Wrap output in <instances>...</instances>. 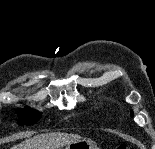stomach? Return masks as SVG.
Listing matches in <instances>:
<instances>
[{
  "mask_svg": "<svg viewBox=\"0 0 155 149\" xmlns=\"http://www.w3.org/2000/svg\"><path fill=\"white\" fill-rule=\"evenodd\" d=\"M64 149H98V147L94 141L82 138L76 142L65 145Z\"/></svg>",
  "mask_w": 155,
  "mask_h": 149,
  "instance_id": "obj_1",
  "label": "stomach"
}]
</instances>
